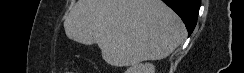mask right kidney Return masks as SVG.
<instances>
[{
    "mask_svg": "<svg viewBox=\"0 0 244 73\" xmlns=\"http://www.w3.org/2000/svg\"><path fill=\"white\" fill-rule=\"evenodd\" d=\"M125 73H155V66L151 63H139L128 68Z\"/></svg>",
    "mask_w": 244,
    "mask_h": 73,
    "instance_id": "right-kidney-1",
    "label": "right kidney"
}]
</instances>
